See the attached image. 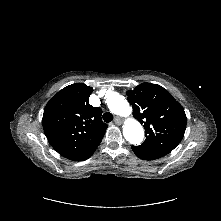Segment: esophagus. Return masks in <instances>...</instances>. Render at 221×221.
<instances>
[{"mask_svg":"<svg viewBox=\"0 0 221 221\" xmlns=\"http://www.w3.org/2000/svg\"><path fill=\"white\" fill-rule=\"evenodd\" d=\"M114 123L117 124V125H120L122 123V121L119 117H115Z\"/></svg>","mask_w":221,"mask_h":221,"instance_id":"34e87169","label":"esophagus"}]
</instances>
